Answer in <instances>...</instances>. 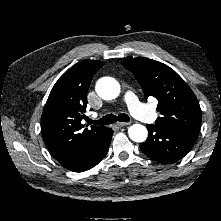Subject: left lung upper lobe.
<instances>
[{
	"mask_svg": "<svg viewBox=\"0 0 221 221\" xmlns=\"http://www.w3.org/2000/svg\"><path fill=\"white\" fill-rule=\"evenodd\" d=\"M121 64L134 74L147 99L155 97L161 117L156 125L199 132L201 109L185 81L169 66L148 58H132Z\"/></svg>",
	"mask_w": 221,
	"mask_h": 221,
	"instance_id": "obj_1",
	"label": "left lung upper lobe"
}]
</instances>
